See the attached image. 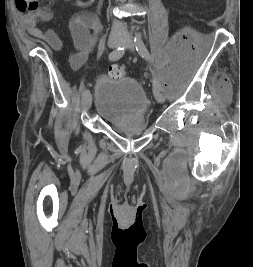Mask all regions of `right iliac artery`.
Segmentation results:
<instances>
[{
	"label": "right iliac artery",
	"mask_w": 253,
	"mask_h": 267,
	"mask_svg": "<svg viewBox=\"0 0 253 267\" xmlns=\"http://www.w3.org/2000/svg\"><path fill=\"white\" fill-rule=\"evenodd\" d=\"M124 52H125V48L123 46L118 47L117 49L113 50L109 54V59L111 61H116V60L120 59L123 56ZM89 93H90V91L88 89H84L83 94H82L83 98L85 96H87Z\"/></svg>",
	"instance_id": "obj_1"
}]
</instances>
